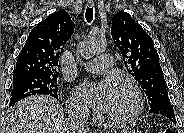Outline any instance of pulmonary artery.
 I'll return each instance as SVG.
<instances>
[{
    "label": "pulmonary artery",
    "mask_w": 184,
    "mask_h": 133,
    "mask_svg": "<svg viewBox=\"0 0 184 133\" xmlns=\"http://www.w3.org/2000/svg\"><path fill=\"white\" fill-rule=\"evenodd\" d=\"M113 56L101 54L97 59L90 60L83 64V68L89 72L101 74L112 68Z\"/></svg>",
    "instance_id": "pulmonary-artery-1"
}]
</instances>
